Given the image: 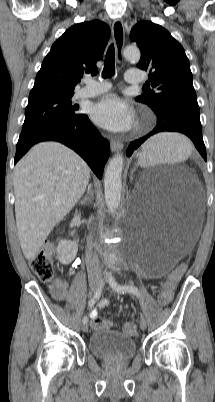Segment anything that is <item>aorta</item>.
<instances>
[{"label":"aorta","mask_w":215,"mask_h":402,"mask_svg":"<svg viewBox=\"0 0 215 402\" xmlns=\"http://www.w3.org/2000/svg\"><path fill=\"white\" fill-rule=\"evenodd\" d=\"M123 55L130 62H138L140 60V50L137 47L127 46ZM122 170H123V155L116 154L109 162L104 174V192L105 201L108 209L115 211L121 200L122 191ZM111 277V273H108Z\"/></svg>","instance_id":"aorta-1"}]
</instances>
